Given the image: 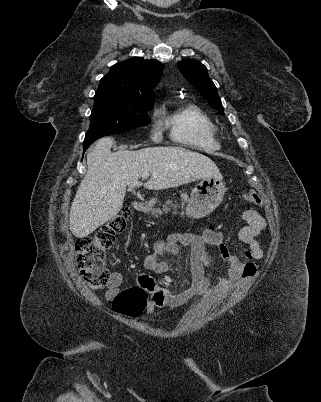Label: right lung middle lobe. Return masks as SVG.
<instances>
[{"mask_svg":"<svg viewBox=\"0 0 321 402\" xmlns=\"http://www.w3.org/2000/svg\"><path fill=\"white\" fill-rule=\"evenodd\" d=\"M94 99L90 128L84 141H95L103 136L149 124L147 110H151L153 104L136 103L106 95H95Z\"/></svg>","mask_w":321,"mask_h":402,"instance_id":"1","label":"right lung middle lobe"}]
</instances>
